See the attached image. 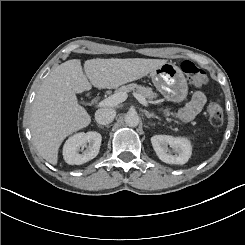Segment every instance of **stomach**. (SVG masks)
<instances>
[{
	"label": "stomach",
	"mask_w": 245,
	"mask_h": 245,
	"mask_svg": "<svg viewBox=\"0 0 245 245\" xmlns=\"http://www.w3.org/2000/svg\"><path fill=\"white\" fill-rule=\"evenodd\" d=\"M150 76L156 89L167 100L178 103L186 98L188 93L187 81L178 66L172 63H165L150 72Z\"/></svg>",
	"instance_id": "0dacf381"
}]
</instances>
